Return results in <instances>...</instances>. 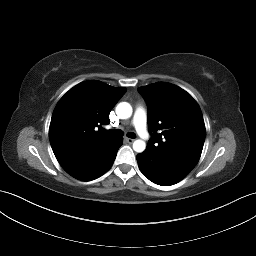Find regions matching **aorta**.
I'll use <instances>...</instances> for the list:
<instances>
[{"label": "aorta", "mask_w": 256, "mask_h": 256, "mask_svg": "<svg viewBox=\"0 0 256 256\" xmlns=\"http://www.w3.org/2000/svg\"><path fill=\"white\" fill-rule=\"evenodd\" d=\"M116 114L120 119H127L131 117L132 115V107L129 103L127 102H121L117 105L116 107ZM146 148V143L145 141L138 139L135 140L133 143V150L135 152L141 153L145 150Z\"/></svg>", "instance_id": "aorta-1"}]
</instances>
